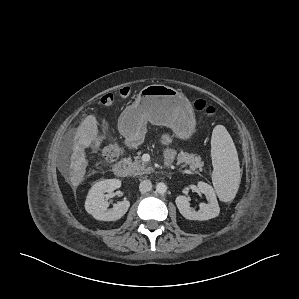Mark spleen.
I'll list each match as a JSON object with an SVG mask.
<instances>
[{
	"mask_svg": "<svg viewBox=\"0 0 299 299\" xmlns=\"http://www.w3.org/2000/svg\"><path fill=\"white\" fill-rule=\"evenodd\" d=\"M212 182L218 197L229 202L239 188L240 166L234 142L223 125H216L211 138Z\"/></svg>",
	"mask_w": 299,
	"mask_h": 299,
	"instance_id": "spleen-1",
	"label": "spleen"
}]
</instances>
